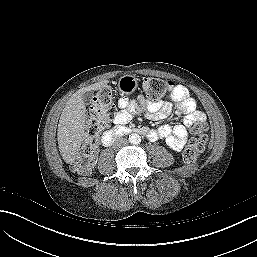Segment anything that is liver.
I'll return each mask as SVG.
<instances>
[{"instance_id": "obj_1", "label": "liver", "mask_w": 257, "mask_h": 257, "mask_svg": "<svg viewBox=\"0 0 257 257\" xmlns=\"http://www.w3.org/2000/svg\"><path fill=\"white\" fill-rule=\"evenodd\" d=\"M109 83L103 80L79 89L68 100L60 116L57 140L60 154L66 163L74 162L85 136L86 106L82 95L87 91H96Z\"/></svg>"}]
</instances>
